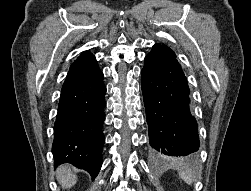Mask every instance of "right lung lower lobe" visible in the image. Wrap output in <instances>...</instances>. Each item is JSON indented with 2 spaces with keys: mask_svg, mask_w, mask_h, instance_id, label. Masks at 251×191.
<instances>
[{
  "mask_svg": "<svg viewBox=\"0 0 251 191\" xmlns=\"http://www.w3.org/2000/svg\"><path fill=\"white\" fill-rule=\"evenodd\" d=\"M103 73L62 88L54 124L55 167L63 163L88 171L92 180L102 165L106 87Z\"/></svg>",
  "mask_w": 251,
  "mask_h": 191,
  "instance_id": "right-lung-lower-lobe-1",
  "label": "right lung lower lobe"
}]
</instances>
